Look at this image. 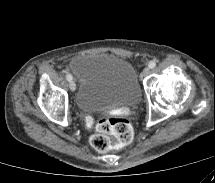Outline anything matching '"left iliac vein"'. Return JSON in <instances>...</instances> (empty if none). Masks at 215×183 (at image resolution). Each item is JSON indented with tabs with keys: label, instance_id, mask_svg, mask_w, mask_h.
Segmentation results:
<instances>
[{
	"label": "left iliac vein",
	"instance_id": "left-iliac-vein-1",
	"mask_svg": "<svg viewBox=\"0 0 215 183\" xmlns=\"http://www.w3.org/2000/svg\"><path fill=\"white\" fill-rule=\"evenodd\" d=\"M143 76L146 77L150 74V69L149 68H145L142 72Z\"/></svg>",
	"mask_w": 215,
	"mask_h": 183
}]
</instances>
